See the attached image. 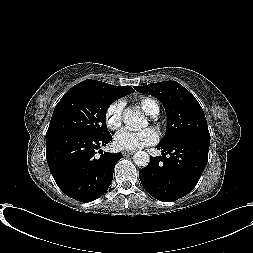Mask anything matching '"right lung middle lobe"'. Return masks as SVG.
<instances>
[{
	"instance_id": "1",
	"label": "right lung middle lobe",
	"mask_w": 253,
	"mask_h": 253,
	"mask_svg": "<svg viewBox=\"0 0 253 253\" xmlns=\"http://www.w3.org/2000/svg\"><path fill=\"white\" fill-rule=\"evenodd\" d=\"M124 94L90 87L73 86L58 102L46 133V139L63 134L102 137L110 134L106 112Z\"/></svg>"
}]
</instances>
